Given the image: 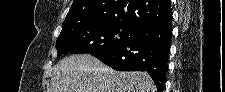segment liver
<instances>
[{
  "label": "liver",
  "instance_id": "obj_1",
  "mask_svg": "<svg viewBox=\"0 0 225 92\" xmlns=\"http://www.w3.org/2000/svg\"><path fill=\"white\" fill-rule=\"evenodd\" d=\"M49 92H156L146 72H118L89 54L71 55L53 67Z\"/></svg>",
  "mask_w": 225,
  "mask_h": 92
}]
</instances>
